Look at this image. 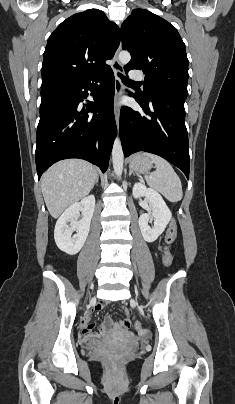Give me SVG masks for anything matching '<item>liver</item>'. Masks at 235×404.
I'll return each mask as SVG.
<instances>
[{"label":"liver","mask_w":235,"mask_h":404,"mask_svg":"<svg viewBox=\"0 0 235 404\" xmlns=\"http://www.w3.org/2000/svg\"><path fill=\"white\" fill-rule=\"evenodd\" d=\"M97 169L80 159H66L52 165L41 178V191L53 218L89 194Z\"/></svg>","instance_id":"1"}]
</instances>
